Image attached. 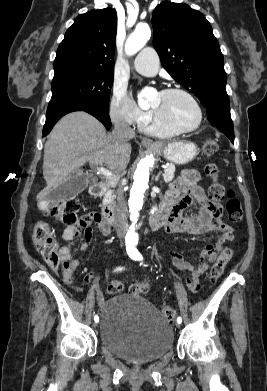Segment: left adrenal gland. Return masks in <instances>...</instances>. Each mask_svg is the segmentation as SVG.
I'll return each instance as SVG.
<instances>
[{"instance_id":"1","label":"left adrenal gland","mask_w":267,"mask_h":391,"mask_svg":"<svg viewBox=\"0 0 267 391\" xmlns=\"http://www.w3.org/2000/svg\"><path fill=\"white\" fill-rule=\"evenodd\" d=\"M161 172L156 176L155 181H158Z\"/></svg>"}]
</instances>
